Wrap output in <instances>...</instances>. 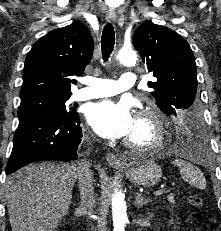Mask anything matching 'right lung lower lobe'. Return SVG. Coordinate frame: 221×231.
<instances>
[{"label":"right lung lower lobe","instance_id":"obj_1","mask_svg":"<svg viewBox=\"0 0 221 231\" xmlns=\"http://www.w3.org/2000/svg\"><path fill=\"white\" fill-rule=\"evenodd\" d=\"M82 131L79 114L41 111L19 118L6 174L36 161L77 159Z\"/></svg>","mask_w":221,"mask_h":231}]
</instances>
